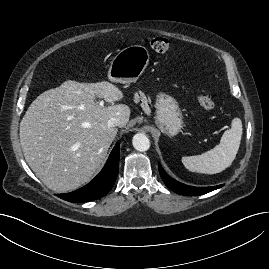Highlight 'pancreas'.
Here are the masks:
<instances>
[{"mask_svg":"<svg viewBox=\"0 0 269 269\" xmlns=\"http://www.w3.org/2000/svg\"><path fill=\"white\" fill-rule=\"evenodd\" d=\"M140 100L142 102V106L144 107V109L150 111L148 103H151V99L149 97L147 98L146 95L141 91L139 93H135L134 96L135 102H139Z\"/></svg>","mask_w":269,"mask_h":269,"instance_id":"1","label":"pancreas"}]
</instances>
